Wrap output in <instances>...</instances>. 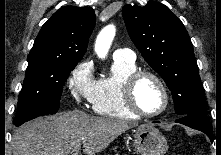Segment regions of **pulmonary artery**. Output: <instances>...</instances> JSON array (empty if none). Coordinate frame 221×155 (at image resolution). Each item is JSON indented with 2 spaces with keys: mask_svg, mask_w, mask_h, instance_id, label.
I'll return each mask as SVG.
<instances>
[{
  "mask_svg": "<svg viewBox=\"0 0 221 155\" xmlns=\"http://www.w3.org/2000/svg\"><path fill=\"white\" fill-rule=\"evenodd\" d=\"M114 60L135 61V53L129 48L117 49L113 54Z\"/></svg>",
  "mask_w": 221,
  "mask_h": 155,
  "instance_id": "e3ab8cb5",
  "label": "pulmonary artery"
}]
</instances>
